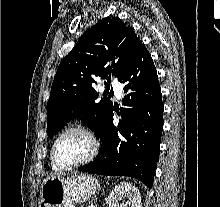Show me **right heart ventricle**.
<instances>
[{
  "label": "right heart ventricle",
  "mask_w": 220,
  "mask_h": 207,
  "mask_svg": "<svg viewBox=\"0 0 220 207\" xmlns=\"http://www.w3.org/2000/svg\"><path fill=\"white\" fill-rule=\"evenodd\" d=\"M52 167H53L54 169H56L55 166H54L53 164H52Z\"/></svg>",
  "instance_id": "right-heart-ventricle-1"
}]
</instances>
